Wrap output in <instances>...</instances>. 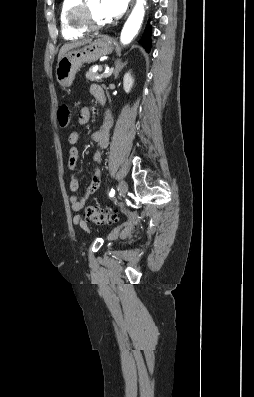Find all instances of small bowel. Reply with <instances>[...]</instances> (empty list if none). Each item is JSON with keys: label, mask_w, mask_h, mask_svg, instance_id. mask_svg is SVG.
<instances>
[{"label": "small bowel", "mask_w": 254, "mask_h": 397, "mask_svg": "<svg viewBox=\"0 0 254 397\" xmlns=\"http://www.w3.org/2000/svg\"><path fill=\"white\" fill-rule=\"evenodd\" d=\"M90 93L92 96L102 102L104 101V92L101 86L97 84H93L90 87ZM90 120V110L88 107H83L78 115V123L79 125H85ZM113 119L109 111L105 113L104 121L99 129V131L92 134V140L96 145V151L93 156V162L95 164V168L93 171V175L87 187L85 188L83 197H78L76 195H72L69 198V202L71 205V209L74 212L81 211L86 203V200L92 196L100 186L101 180V170L99 168V163L101 161L102 153L107 148L109 143V130L112 126ZM80 140V134L76 131L71 132L68 137L69 144L71 145L69 149V158H68V168L71 172L70 179H69V187L72 192H77L79 189V181L74 173L78 159H79V151L77 148V144ZM73 224L74 226L81 228L83 230L88 231V226L85 220L76 215L73 217ZM132 232V225L129 222L123 224L122 227L116 228L111 234L110 238L115 239L119 236V234L123 237L129 236Z\"/></svg>", "instance_id": "1"}]
</instances>
